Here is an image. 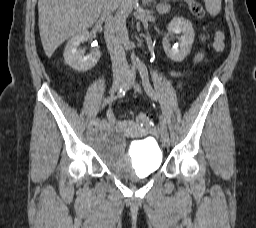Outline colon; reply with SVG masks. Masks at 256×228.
<instances>
[{
    "mask_svg": "<svg viewBox=\"0 0 256 228\" xmlns=\"http://www.w3.org/2000/svg\"><path fill=\"white\" fill-rule=\"evenodd\" d=\"M190 11L197 18H203L205 16V10L203 6L197 0H186ZM213 47L217 52H222L225 49V34L223 31L218 30L214 35ZM136 120L139 124L144 126H151L152 121L148 114L140 113L137 115Z\"/></svg>",
    "mask_w": 256,
    "mask_h": 228,
    "instance_id": "colon-1",
    "label": "colon"
}]
</instances>
